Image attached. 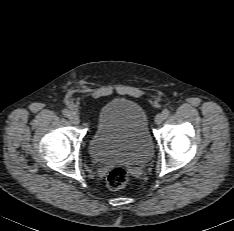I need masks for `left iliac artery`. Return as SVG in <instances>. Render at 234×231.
I'll return each mask as SVG.
<instances>
[{
    "label": "left iliac artery",
    "instance_id": "obj_1",
    "mask_svg": "<svg viewBox=\"0 0 234 231\" xmlns=\"http://www.w3.org/2000/svg\"><path fill=\"white\" fill-rule=\"evenodd\" d=\"M162 114H163V116H164V119H166L167 117H169L170 111H169L168 109H164V110L162 111Z\"/></svg>",
    "mask_w": 234,
    "mask_h": 231
}]
</instances>
